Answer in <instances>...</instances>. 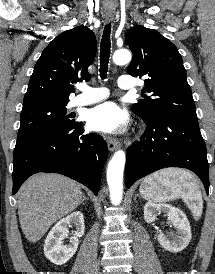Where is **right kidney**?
<instances>
[{
    "instance_id": "obj_1",
    "label": "right kidney",
    "mask_w": 215,
    "mask_h": 274,
    "mask_svg": "<svg viewBox=\"0 0 215 274\" xmlns=\"http://www.w3.org/2000/svg\"><path fill=\"white\" fill-rule=\"evenodd\" d=\"M70 225H74L76 231L70 237L69 244L63 245L62 240L68 237V227ZM84 231V216L80 211H75L58 221L45 240L44 254L47 259L55 265H63L68 262L77 251L79 238L83 236Z\"/></svg>"
}]
</instances>
